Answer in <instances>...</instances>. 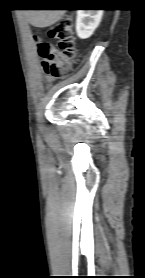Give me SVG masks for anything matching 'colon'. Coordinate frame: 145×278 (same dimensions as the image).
Instances as JSON below:
<instances>
[{
	"label": "colon",
	"mask_w": 145,
	"mask_h": 278,
	"mask_svg": "<svg viewBox=\"0 0 145 278\" xmlns=\"http://www.w3.org/2000/svg\"><path fill=\"white\" fill-rule=\"evenodd\" d=\"M47 36L49 40L38 43V51L43 59V71L52 78H62L75 63L78 52L72 35L71 17L61 16L58 23L48 30ZM53 41H56V44Z\"/></svg>",
	"instance_id": "colon-1"
}]
</instances>
